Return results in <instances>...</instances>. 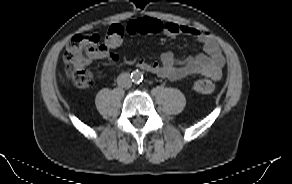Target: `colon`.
<instances>
[{"label": "colon", "instance_id": "1", "mask_svg": "<svg viewBox=\"0 0 292 184\" xmlns=\"http://www.w3.org/2000/svg\"><path fill=\"white\" fill-rule=\"evenodd\" d=\"M141 33L144 35L158 34L161 31L159 22L145 19L140 23ZM124 27L113 24L109 27L103 40L96 34L74 36L63 56L66 74L74 85L88 88L93 84V74L88 69L89 61L112 48L119 47L124 38ZM194 88L202 94H210L215 90V84L210 79H199Z\"/></svg>", "mask_w": 292, "mask_h": 184}]
</instances>
